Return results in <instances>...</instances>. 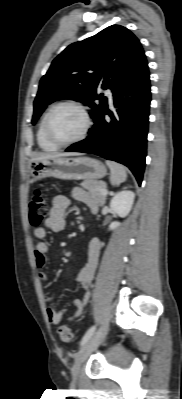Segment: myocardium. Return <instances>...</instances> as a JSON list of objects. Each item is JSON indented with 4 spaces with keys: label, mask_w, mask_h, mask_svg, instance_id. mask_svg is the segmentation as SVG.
Masks as SVG:
<instances>
[{
    "label": "myocardium",
    "mask_w": 182,
    "mask_h": 399,
    "mask_svg": "<svg viewBox=\"0 0 182 399\" xmlns=\"http://www.w3.org/2000/svg\"><path fill=\"white\" fill-rule=\"evenodd\" d=\"M65 106L76 108L81 112V114L84 118V128H83L82 132L74 139H71L68 141H60L53 136V134L51 132V128H50V123H51V117H52L53 113L57 109H59L61 107H65ZM91 126H92V119H91V116H90L87 108L80 102L69 100V101L59 102L49 109V111L46 114V118H45V122H44V131H45V135H46L47 139L51 143H53L57 147H64V146H69V145H72V144H75V143H78V142L84 140L86 138L87 134L89 133Z\"/></svg>",
    "instance_id": "myocardium-1"
}]
</instances>
